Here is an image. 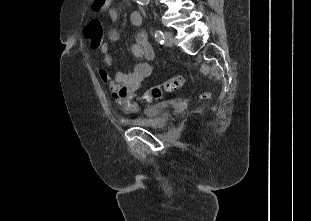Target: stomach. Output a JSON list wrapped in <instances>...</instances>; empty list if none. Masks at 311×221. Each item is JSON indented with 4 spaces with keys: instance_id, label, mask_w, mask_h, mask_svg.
Here are the masks:
<instances>
[{
    "instance_id": "stomach-1",
    "label": "stomach",
    "mask_w": 311,
    "mask_h": 221,
    "mask_svg": "<svg viewBox=\"0 0 311 221\" xmlns=\"http://www.w3.org/2000/svg\"><path fill=\"white\" fill-rule=\"evenodd\" d=\"M94 4H98V10H104L110 4V0H94Z\"/></svg>"
}]
</instances>
